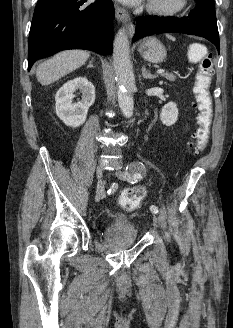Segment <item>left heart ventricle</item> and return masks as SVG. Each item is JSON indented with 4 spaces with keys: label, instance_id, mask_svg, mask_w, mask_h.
Segmentation results:
<instances>
[{
    "label": "left heart ventricle",
    "instance_id": "obj_1",
    "mask_svg": "<svg viewBox=\"0 0 233 328\" xmlns=\"http://www.w3.org/2000/svg\"><path fill=\"white\" fill-rule=\"evenodd\" d=\"M155 1L161 2V3H169V2H171L173 0H155Z\"/></svg>",
    "mask_w": 233,
    "mask_h": 328
}]
</instances>
